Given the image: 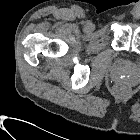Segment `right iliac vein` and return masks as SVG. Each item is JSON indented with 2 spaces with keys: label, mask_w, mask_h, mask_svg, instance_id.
Here are the masks:
<instances>
[{
  "label": "right iliac vein",
  "mask_w": 140,
  "mask_h": 140,
  "mask_svg": "<svg viewBox=\"0 0 140 140\" xmlns=\"http://www.w3.org/2000/svg\"><path fill=\"white\" fill-rule=\"evenodd\" d=\"M93 29H94V25L92 23H87L86 30L87 31H92Z\"/></svg>",
  "instance_id": "right-iliac-vein-1"
}]
</instances>
